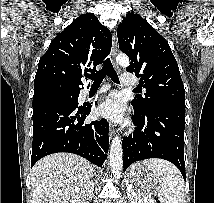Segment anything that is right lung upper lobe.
<instances>
[{"label":"right lung upper lobe","instance_id":"1","mask_svg":"<svg viewBox=\"0 0 214 203\" xmlns=\"http://www.w3.org/2000/svg\"><path fill=\"white\" fill-rule=\"evenodd\" d=\"M112 36L92 13L76 18L50 43L40 58L34 80V98L79 93L81 77L96 72L110 53Z\"/></svg>","mask_w":214,"mask_h":203}]
</instances>
